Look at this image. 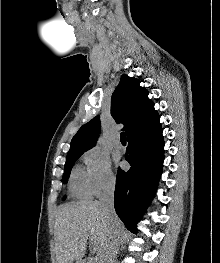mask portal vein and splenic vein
I'll return each instance as SVG.
<instances>
[{
	"instance_id": "1",
	"label": "portal vein and splenic vein",
	"mask_w": 220,
	"mask_h": 263,
	"mask_svg": "<svg viewBox=\"0 0 220 263\" xmlns=\"http://www.w3.org/2000/svg\"><path fill=\"white\" fill-rule=\"evenodd\" d=\"M91 239V238H90ZM92 240V239H91ZM93 241V240H92ZM93 251H97V248H96V246H95V244H94V246H93Z\"/></svg>"
}]
</instances>
